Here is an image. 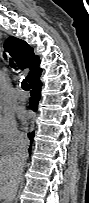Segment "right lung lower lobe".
<instances>
[{
    "instance_id": "1",
    "label": "right lung lower lobe",
    "mask_w": 89,
    "mask_h": 203,
    "mask_svg": "<svg viewBox=\"0 0 89 203\" xmlns=\"http://www.w3.org/2000/svg\"><path fill=\"white\" fill-rule=\"evenodd\" d=\"M40 75H41V73L38 74L36 77H34L31 81H29V85L31 88V99H30L29 108L34 111L37 110L38 102H39L40 96H41L42 82L40 81ZM28 137L30 138V141L32 142L33 137H34V132H32L31 134H28ZM31 146H32V143L29 148L30 154H31Z\"/></svg>"
}]
</instances>
